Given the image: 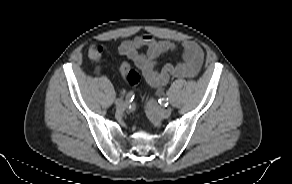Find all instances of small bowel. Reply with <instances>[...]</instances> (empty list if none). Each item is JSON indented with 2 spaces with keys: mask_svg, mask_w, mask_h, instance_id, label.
I'll return each instance as SVG.
<instances>
[{
  "mask_svg": "<svg viewBox=\"0 0 292 184\" xmlns=\"http://www.w3.org/2000/svg\"><path fill=\"white\" fill-rule=\"evenodd\" d=\"M182 62L167 64L162 69H156V59L167 52L174 51L176 45L169 41H158L149 35L125 39L118 46L121 56L130 60L143 74L144 78L154 87L166 85L171 78L195 77L203 63L204 53L198 44L185 41L182 44ZM145 48V52L141 49ZM128 66L122 64L121 68ZM100 71V67L97 68Z\"/></svg>",
  "mask_w": 292,
  "mask_h": 184,
  "instance_id": "obj_1",
  "label": "small bowel"
}]
</instances>
